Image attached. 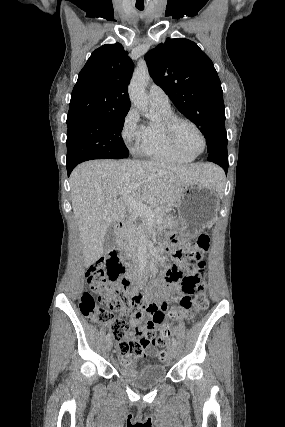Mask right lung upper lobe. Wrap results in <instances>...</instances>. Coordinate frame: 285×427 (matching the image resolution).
<instances>
[{"mask_svg": "<svg viewBox=\"0 0 285 427\" xmlns=\"http://www.w3.org/2000/svg\"><path fill=\"white\" fill-rule=\"evenodd\" d=\"M134 64L120 43L96 49L79 73L67 121L108 112H128L127 86Z\"/></svg>", "mask_w": 285, "mask_h": 427, "instance_id": "1", "label": "right lung upper lobe"}]
</instances>
